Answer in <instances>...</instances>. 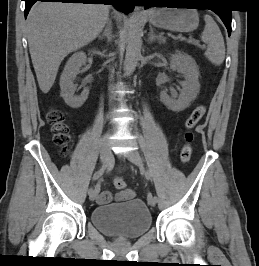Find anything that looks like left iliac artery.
<instances>
[{
	"instance_id": "1",
	"label": "left iliac artery",
	"mask_w": 259,
	"mask_h": 266,
	"mask_svg": "<svg viewBox=\"0 0 259 266\" xmlns=\"http://www.w3.org/2000/svg\"><path fill=\"white\" fill-rule=\"evenodd\" d=\"M150 177H151V174H150V172L147 171L146 178L150 179ZM158 202H159L158 196H155V203H158Z\"/></svg>"
}]
</instances>
